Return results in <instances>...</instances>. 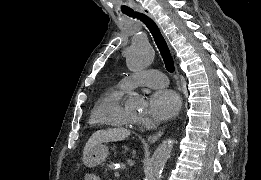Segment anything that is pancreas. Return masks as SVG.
Listing matches in <instances>:
<instances>
[{
  "label": "pancreas",
  "mask_w": 261,
  "mask_h": 180,
  "mask_svg": "<svg viewBox=\"0 0 261 180\" xmlns=\"http://www.w3.org/2000/svg\"><path fill=\"white\" fill-rule=\"evenodd\" d=\"M114 163L113 159H108L107 162H105V165H103L104 175L105 176H111V166Z\"/></svg>",
  "instance_id": "cf45deb5"
}]
</instances>
